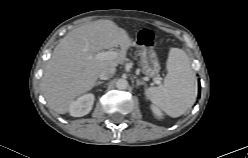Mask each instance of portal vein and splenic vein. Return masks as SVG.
Returning a JSON list of instances; mask_svg holds the SVG:
<instances>
[{
  "label": "portal vein and splenic vein",
  "mask_w": 248,
  "mask_h": 158,
  "mask_svg": "<svg viewBox=\"0 0 248 158\" xmlns=\"http://www.w3.org/2000/svg\"><path fill=\"white\" fill-rule=\"evenodd\" d=\"M96 57L100 60H111L115 59L117 57V53L114 51H105V52H99ZM157 84H160V79H157L155 81Z\"/></svg>",
  "instance_id": "1"
}]
</instances>
